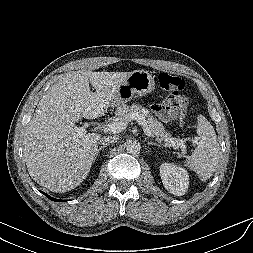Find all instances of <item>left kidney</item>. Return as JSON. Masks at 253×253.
Returning a JSON list of instances; mask_svg holds the SVG:
<instances>
[{"label":"left kidney","instance_id":"left-kidney-1","mask_svg":"<svg viewBox=\"0 0 253 253\" xmlns=\"http://www.w3.org/2000/svg\"><path fill=\"white\" fill-rule=\"evenodd\" d=\"M160 177L167 191L176 196H182L187 192L189 175L187 171L171 163H163L160 166Z\"/></svg>","mask_w":253,"mask_h":253}]
</instances>
